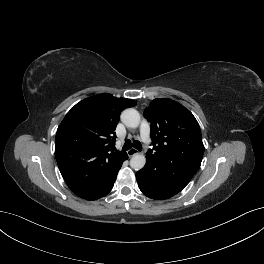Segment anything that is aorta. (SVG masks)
<instances>
[{
    "label": "aorta",
    "mask_w": 264,
    "mask_h": 264,
    "mask_svg": "<svg viewBox=\"0 0 264 264\" xmlns=\"http://www.w3.org/2000/svg\"><path fill=\"white\" fill-rule=\"evenodd\" d=\"M121 121L130 128H136L140 123L139 113L132 108L125 109L121 113ZM146 158L142 154H136L130 159V166L134 170H140L144 167Z\"/></svg>",
    "instance_id": "762f6f07"
}]
</instances>
